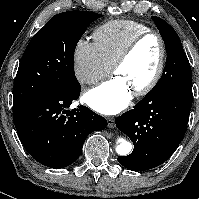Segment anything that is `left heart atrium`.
Listing matches in <instances>:
<instances>
[{
  "label": "left heart atrium",
  "instance_id": "39dd6f15",
  "mask_svg": "<svg viewBox=\"0 0 199 199\" xmlns=\"http://www.w3.org/2000/svg\"><path fill=\"white\" fill-rule=\"evenodd\" d=\"M132 98V91L119 76L90 89L85 94L86 103L96 112L114 115L124 110Z\"/></svg>",
  "mask_w": 199,
  "mask_h": 199
}]
</instances>
